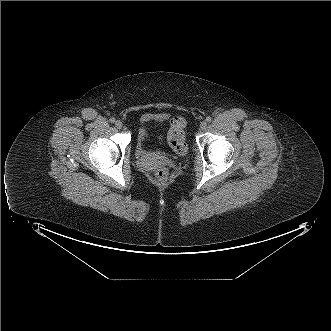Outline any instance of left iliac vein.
<instances>
[{"label": "left iliac vein", "instance_id": "obj_1", "mask_svg": "<svg viewBox=\"0 0 331 331\" xmlns=\"http://www.w3.org/2000/svg\"><path fill=\"white\" fill-rule=\"evenodd\" d=\"M206 126H207V123H206L205 121H203V122H201V124H200V129H201V130H204V129L206 128Z\"/></svg>", "mask_w": 331, "mask_h": 331}]
</instances>
